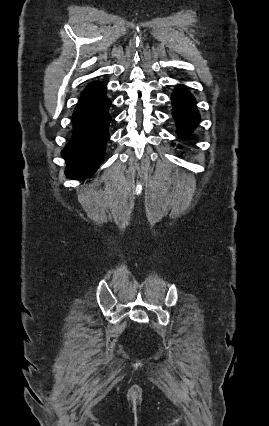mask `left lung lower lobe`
Segmentation results:
<instances>
[{
    "mask_svg": "<svg viewBox=\"0 0 269 426\" xmlns=\"http://www.w3.org/2000/svg\"><path fill=\"white\" fill-rule=\"evenodd\" d=\"M173 117L178 125V135L188 136L199 122L195 100L184 86H178L172 95Z\"/></svg>",
    "mask_w": 269,
    "mask_h": 426,
    "instance_id": "left-lung-lower-lobe-1",
    "label": "left lung lower lobe"
}]
</instances>
